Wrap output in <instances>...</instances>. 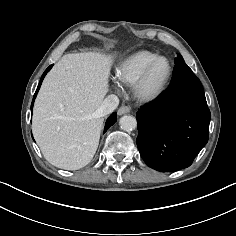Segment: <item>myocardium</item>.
<instances>
[{
  "mask_svg": "<svg viewBox=\"0 0 236 236\" xmlns=\"http://www.w3.org/2000/svg\"><path fill=\"white\" fill-rule=\"evenodd\" d=\"M160 61H165L167 63V72H166L165 78L155 90L149 91L146 88L148 78L152 70ZM172 73H173V68H172L171 62L166 57H162V56L157 57L144 69V71L140 74V76L134 82L135 96L139 100L145 101V102H152L159 99L167 90L170 84L171 78H172Z\"/></svg>",
  "mask_w": 236,
  "mask_h": 236,
  "instance_id": "myocardium-1",
  "label": "myocardium"
}]
</instances>
